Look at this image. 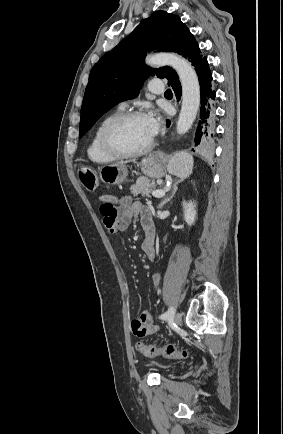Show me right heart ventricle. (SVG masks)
<instances>
[{
	"instance_id": "right-heart-ventricle-1",
	"label": "right heart ventricle",
	"mask_w": 283,
	"mask_h": 434,
	"mask_svg": "<svg viewBox=\"0 0 283 434\" xmlns=\"http://www.w3.org/2000/svg\"><path fill=\"white\" fill-rule=\"evenodd\" d=\"M120 113V111L111 113L109 115H107L106 117H104L99 124L96 126L92 137L90 139V142L88 144V148H87V155L88 158L97 164H107L110 162H113L114 160H116V158H113L109 155H107L100 147V143H99V135L100 132L103 128V126L110 120L112 119L114 116L118 115Z\"/></svg>"
}]
</instances>
